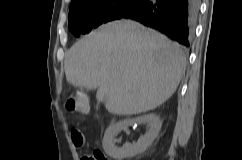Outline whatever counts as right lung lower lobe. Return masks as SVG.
Segmentation results:
<instances>
[{
	"label": "right lung lower lobe",
	"instance_id": "right-lung-lower-lobe-1",
	"mask_svg": "<svg viewBox=\"0 0 242 160\" xmlns=\"http://www.w3.org/2000/svg\"><path fill=\"white\" fill-rule=\"evenodd\" d=\"M199 0H143L122 18H130L154 28L189 47Z\"/></svg>",
	"mask_w": 242,
	"mask_h": 160
}]
</instances>
